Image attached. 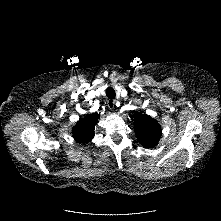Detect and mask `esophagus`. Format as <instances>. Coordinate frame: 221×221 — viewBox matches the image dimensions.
Returning a JSON list of instances; mask_svg holds the SVG:
<instances>
[{
    "label": "esophagus",
    "mask_w": 221,
    "mask_h": 221,
    "mask_svg": "<svg viewBox=\"0 0 221 221\" xmlns=\"http://www.w3.org/2000/svg\"><path fill=\"white\" fill-rule=\"evenodd\" d=\"M107 106H108L110 109H113L114 106H115V100H112V99L107 100Z\"/></svg>",
    "instance_id": "1"
}]
</instances>
